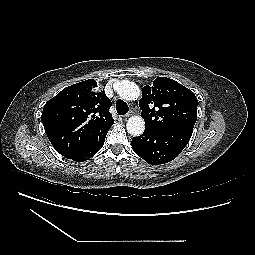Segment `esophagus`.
<instances>
[{
    "label": "esophagus",
    "instance_id": "34e87169",
    "mask_svg": "<svg viewBox=\"0 0 255 255\" xmlns=\"http://www.w3.org/2000/svg\"><path fill=\"white\" fill-rule=\"evenodd\" d=\"M132 111H130L129 113H127V114H125L123 117L126 119V118H128L129 116H131L132 115Z\"/></svg>",
    "mask_w": 255,
    "mask_h": 255
}]
</instances>
